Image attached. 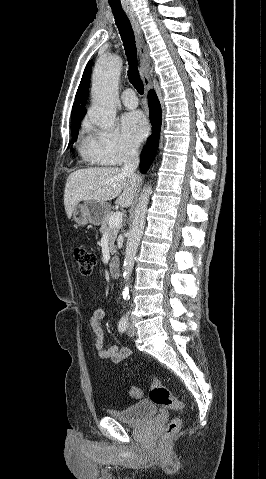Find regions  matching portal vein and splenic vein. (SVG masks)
<instances>
[{
  "instance_id": "portal-vein-and-splenic-vein-1",
  "label": "portal vein and splenic vein",
  "mask_w": 266,
  "mask_h": 479,
  "mask_svg": "<svg viewBox=\"0 0 266 479\" xmlns=\"http://www.w3.org/2000/svg\"><path fill=\"white\" fill-rule=\"evenodd\" d=\"M123 221V214L121 212H116L114 213L110 220H109V226L110 227H117L122 224Z\"/></svg>"
}]
</instances>
